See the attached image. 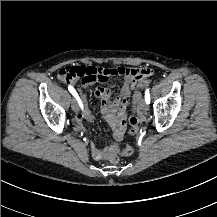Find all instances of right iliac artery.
<instances>
[{
  "mask_svg": "<svg viewBox=\"0 0 217 217\" xmlns=\"http://www.w3.org/2000/svg\"><path fill=\"white\" fill-rule=\"evenodd\" d=\"M68 90H69L70 93L76 98V100H77L78 103H79V106L83 109V104H82L81 99L79 98V96H78L76 90H75L71 85L68 86Z\"/></svg>",
  "mask_w": 217,
  "mask_h": 217,
  "instance_id": "obj_1",
  "label": "right iliac artery"
}]
</instances>
